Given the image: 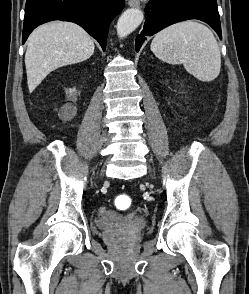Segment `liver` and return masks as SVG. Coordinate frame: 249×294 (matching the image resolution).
<instances>
[{"mask_svg": "<svg viewBox=\"0 0 249 294\" xmlns=\"http://www.w3.org/2000/svg\"><path fill=\"white\" fill-rule=\"evenodd\" d=\"M94 42L80 26L71 22H51L36 28L28 38L25 66L29 92L57 68L89 59Z\"/></svg>", "mask_w": 249, "mask_h": 294, "instance_id": "1", "label": "liver"}]
</instances>
